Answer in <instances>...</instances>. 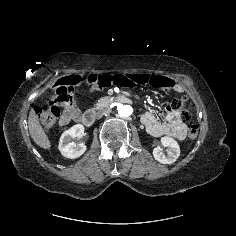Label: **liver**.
I'll use <instances>...</instances> for the list:
<instances>
[{"label":"liver","mask_w":236,"mask_h":236,"mask_svg":"<svg viewBox=\"0 0 236 236\" xmlns=\"http://www.w3.org/2000/svg\"><path fill=\"white\" fill-rule=\"evenodd\" d=\"M28 127L33 141L41 148L49 150L51 148V143L41 127L38 116L33 109L29 113Z\"/></svg>","instance_id":"6515ba94"}]
</instances>
